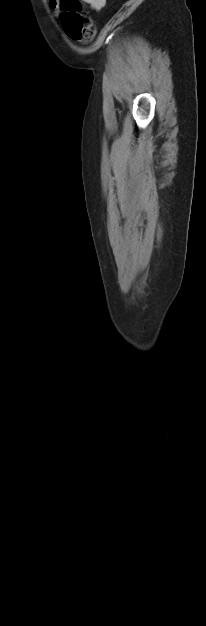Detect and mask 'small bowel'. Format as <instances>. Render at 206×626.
<instances>
[{
	"label": "small bowel",
	"instance_id": "1",
	"mask_svg": "<svg viewBox=\"0 0 206 626\" xmlns=\"http://www.w3.org/2000/svg\"><path fill=\"white\" fill-rule=\"evenodd\" d=\"M85 3L89 4L94 10L100 11L104 8L106 4V0H83ZM49 5L51 9L55 12L60 10V0H49Z\"/></svg>",
	"mask_w": 206,
	"mask_h": 626
}]
</instances>
